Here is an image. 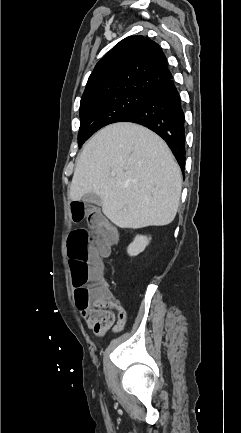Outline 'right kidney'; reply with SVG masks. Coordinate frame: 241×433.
<instances>
[{
	"instance_id": "obj_1",
	"label": "right kidney",
	"mask_w": 241,
	"mask_h": 433,
	"mask_svg": "<svg viewBox=\"0 0 241 433\" xmlns=\"http://www.w3.org/2000/svg\"><path fill=\"white\" fill-rule=\"evenodd\" d=\"M151 238L147 236L138 235L134 238V241L128 246L127 253L129 256H137L143 252L146 246L149 244Z\"/></svg>"
}]
</instances>
